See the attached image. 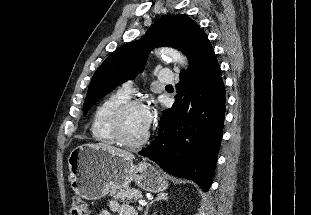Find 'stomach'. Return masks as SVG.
<instances>
[{"instance_id": "stomach-1", "label": "stomach", "mask_w": 311, "mask_h": 215, "mask_svg": "<svg viewBox=\"0 0 311 215\" xmlns=\"http://www.w3.org/2000/svg\"><path fill=\"white\" fill-rule=\"evenodd\" d=\"M69 180L73 191L87 200L127 188L131 182L148 192L167 189L168 182L147 162L134 165L132 159L113 154L95 144L76 147L68 157Z\"/></svg>"}]
</instances>
